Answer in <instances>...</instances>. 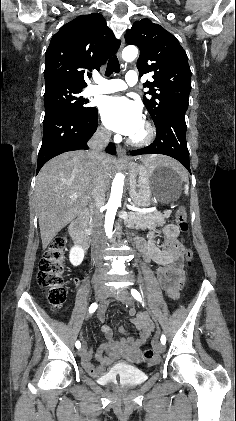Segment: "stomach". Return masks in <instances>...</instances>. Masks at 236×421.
I'll return each instance as SVG.
<instances>
[{"label":"stomach","mask_w":236,"mask_h":421,"mask_svg":"<svg viewBox=\"0 0 236 421\" xmlns=\"http://www.w3.org/2000/svg\"><path fill=\"white\" fill-rule=\"evenodd\" d=\"M123 164L128 170L129 194L137 206H149L153 198L166 204L179 198L183 178L172 166H145L130 158Z\"/></svg>","instance_id":"obj_1"}]
</instances>
